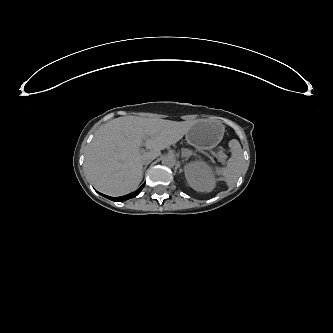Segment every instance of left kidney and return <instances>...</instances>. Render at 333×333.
Returning <instances> with one entry per match:
<instances>
[{
  "mask_svg": "<svg viewBox=\"0 0 333 333\" xmlns=\"http://www.w3.org/2000/svg\"><path fill=\"white\" fill-rule=\"evenodd\" d=\"M185 178L191 188L199 192H211L217 183L215 168L206 161L197 160L184 166Z\"/></svg>",
  "mask_w": 333,
  "mask_h": 333,
  "instance_id": "obj_1",
  "label": "left kidney"
}]
</instances>
